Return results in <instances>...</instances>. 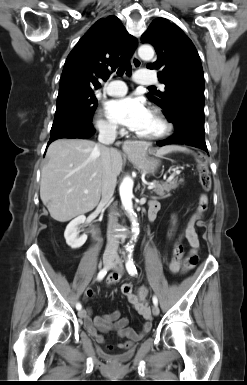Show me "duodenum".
<instances>
[{
  "label": "duodenum",
  "instance_id": "duodenum-1",
  "mask_svg": "<svg viewBox=\"0 0 247 385\" xmlns=\"http://www.w3.org/2000/svg\"><path fill=\"white\" fill-rule=\"evenodd\" d=\"M148 217H149L150 221H153L155 219V217H156V212L153 211V210L149 211ZM93 236L95 238H98V236H99V230H98L97 227H95L94 230H93Z\"/></svg>",
  "mask_w": 247,
  "mask_h": 385
}]
</instances>
